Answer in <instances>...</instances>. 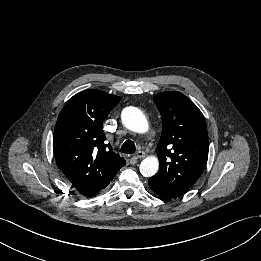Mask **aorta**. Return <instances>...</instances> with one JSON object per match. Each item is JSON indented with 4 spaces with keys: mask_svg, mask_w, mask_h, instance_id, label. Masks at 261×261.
<instances>
[{
    "mask_svg": "<svg viewBox=\"0 0 261 261\" xmlns=\"http://www.w3.org/2000/svg\"><path fill=\"white\" fill-rule=\"evenodd\" d=\"M124 126L137 133H145L148 130V121L141 110L136 107H126L121 113ZM140 172L145 177L154 176L159 169V161L155 156L146 157L140 164Z\"/></svg>",
    "mask_w": 261,
    "mask_h": 261,
    "instance_id": "1",
    "label": "aorta"
}]
</instances>
